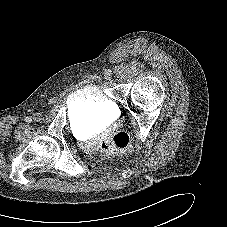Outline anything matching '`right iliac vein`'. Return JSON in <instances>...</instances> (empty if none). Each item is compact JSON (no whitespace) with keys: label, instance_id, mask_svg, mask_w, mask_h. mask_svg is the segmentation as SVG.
<instances>
[{"label":"right iliac vein","instance_id":"63e3f726","mask_svg":"<svg viewBox=\"0 0 227 227\" xmlns=\"http://www.w3.org/2000/svg\"><path fill=\"white\" fill-rule=\"evenodd\" d=\"M33 117H34L35 120H41L42 115H41V113H35V114L33 115Z\"/></svg>","mask_w":227,"mask_h":227}]
</instances>
